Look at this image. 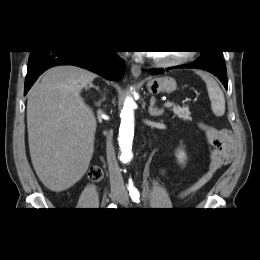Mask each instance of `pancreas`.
<instances>
[{"label":"pancreas","instance_id":"cf45deb5","mask_svg":"<svg viewBox=\"0 0 260 260\" xmlns=\"http://www.w3.org/2000/svg\"><path fill=\"white\" fill-rule=\"evenodd\" d=\"M173 113L183 120H191V113L189 111V107H180L177 105H172Z\"/></svg>","mask_w":260,"mask_h":260}]
</instances>
